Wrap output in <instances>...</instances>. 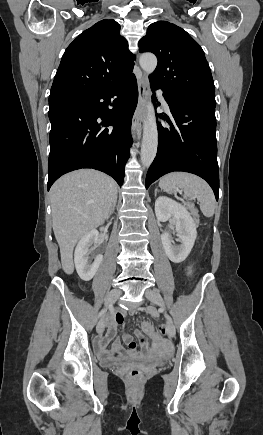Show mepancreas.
<instances>
[{
    "mask_svg": "<svg viewBox=\"0 0 263 435\" xmlns=\"http://www.w3.org/2000/svg\"><path fill=\"white\" fill-rule=\"evenodd\" d=\"M188 208L191 211V214L194 216L196 222H198V210L194 207L193 204H188Z\"/></svg>",
    "mask_w": 263,
    "mask_h": 435,
    "instance_id": "1",
    "label": "pancreas"
}]
</instances>
